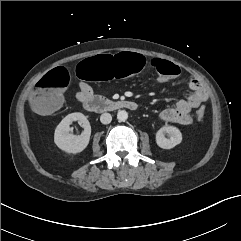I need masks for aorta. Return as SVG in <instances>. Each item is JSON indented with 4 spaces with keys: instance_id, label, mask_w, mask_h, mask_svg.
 <instances>
[{
    "instance_id": "762f6f07",
    "label": "aorta",
    "mask_w": 241,
    "mask_h": 241,
    "mask_svg": "<svg viewBox=\"0 0 241 241\" xmlns=\"http://www.w3.org/2000/svg\"><path fill=\"white\" fill-rule=\"evenodd\" d=\"M117 119L119 121H126L128 119V113L125 110H119L117 113Z\"/></svg>"
}]
</instances>
